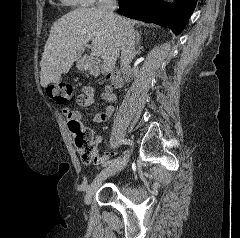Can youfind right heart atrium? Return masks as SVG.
<instances>
[{
  "label": "right heart atrium",
  "mask_w": 240,
  "mask_h": 238,
  "mask_svg": "<svg viewBox=\"0 0 240 238\" xmlns=\"http://www.w3.org/2000/svg\"><path fill=\"white\" fill-rule=\"evenodd\" d=\"M84 1L86 2L87 5H93L94 3L102 0H84Z\"/></svg>",
  "instance_id": "obj_1"
}]
</instances>
